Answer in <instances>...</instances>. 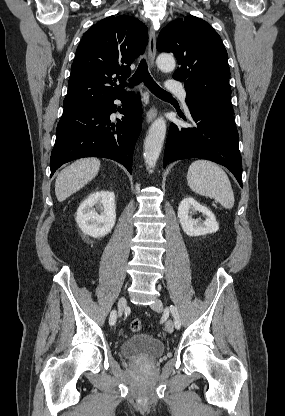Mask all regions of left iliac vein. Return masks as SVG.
<instances>
[{
    "label": "left iliac vein",
    "instance_id": "left-iliac-vein-1",
    "mask_svg": "<svg viewBox=\"0 0 285 416\" xmlns=\"http://www.w3.org/2000/svg\"><path fill=\"white\" fill-rule=\"evenodd\" d=\"M151 309L155 311H162L163 310V302L161 299L156 298L153 303L150 305ZM174 330V325L171 320L166 321V331L168 333H172Z\"/></svg>",
    "mask_w": 285,
    "mask_h": 416
}]
</instances>
